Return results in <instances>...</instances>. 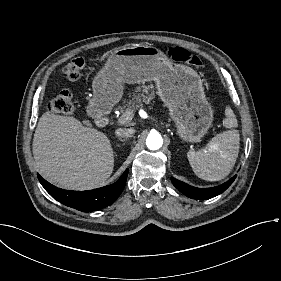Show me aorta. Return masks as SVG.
<instances>
[{"label":"aorta","mask_w":281,"mask_h":281,"mask_svg":"<svg viewBox=\"0 0 281 281\" xmlns=\"http://www.w3.org/2000/svg\"><path fill=\"white\" fill-rule=\"evenodd\" d=\"M146 145L150 150H157L162 147L163 139L157 131H151L146 138Z\"/></svg>","instance_id":"1"}]
</instances>
